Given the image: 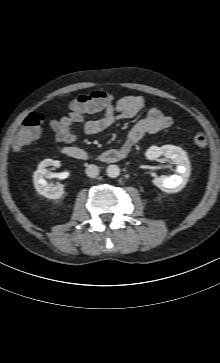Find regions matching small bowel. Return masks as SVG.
Segmentation results:
<instances>
[{
	"label": "small bowel",
	"mask_w": 220,
	"mask_h": 363,
	"mask_svg": "<svg viewBox=\"0 0 220 363\" xmlns=\"http://www.w3.org/2000/svg\"><path fill=\"white\" fill-rule=\"evenodd\" d=\"M146 109L144 98L137 95L124 96L117 101L100 104L89 95L81 103L73 105L71 110L60 119L50 121L57 141L74 144L77 136L71 131L73 124H80L86 134L94 135L105 131L119 120L136 117ZM101 113L97 119H87V116ZM173 124V119L159 108L147 109L144 116L138 119L130 128L124 147L132 149L146 134L163 131Z\"/></svg>",
	"instance_id": "obj_1"
}]
</instances>
